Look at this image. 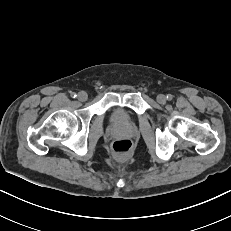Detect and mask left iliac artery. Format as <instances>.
Returning a JSON list of instances; mask_svg holds the SVG:
<instances>
[{
  "label": "left iliac artery",
  "instance_id": "obj_1",
  "mask_svg": "<svg viewBox=\"0 0 231 231\" xmlns=\"http://www.w3.org/2000/svg\"><path fill=\"white\" fill-rule=\"evenodd\" d=\"M168 100H172L173 96L171 94H168L166 97Z\"/></svg>",
  "mask_w": 231,
  "mask_h": 231
}]
</instances>
